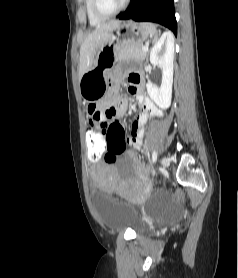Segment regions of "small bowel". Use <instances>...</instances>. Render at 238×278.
I'll use <instances>...</instances> for the list:
<instances>
[{
	"instance_id": "small-bowel-1",
	"label": "small bowel",
	"mask_w": 238,
	"mask_h": 278,
	"mask_svg": "<svg viewBox=\"0 0 238 278\" xmlns=\"http://www.w3.org/2000/svg\"><path fill=\"white\" fill-rule=\"evenodd\" d=\"M111 75L115 76L116 72L112 71ZM121 79V75H116L112 82V91L111 93H105L106 99L103 102L88 105L87 112L91 126L89 130H97L98 137H106V141L108 137H123L125 144L135 150H139L143 146L145 124L150 117L158 116L161 112L145 95L142 74L140 72L129 73L128 90L130 94L136 97L140 113L130 127V136L126 138L124 126L113 120L124 116L128 109L127 100L118 96ZM106 113H114V115L108 116ZM114 125L119 127H112ZM104 182L110 183L111 181L109 177L105 176Z\"/></svg>"
}]
</instances>
